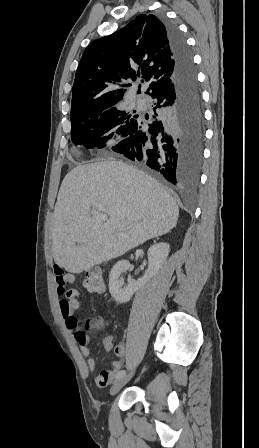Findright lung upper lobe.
Segmentation results:
<instances>
[{"label": "right lung upper lobe", "instance_id": "cb5924a9", "mask_svg": "<svg viewBox=\"0 0 259 448\" xmlns=\"http://www.w3.org/2000/svg\"><path fill=\"white\" fill-rule=\"evenodd\" d=\"M140 74L150 97L172 88L174 62L166 27L151 14L139 15L121 30L86 47L75 74L71 114L114 106L126 92L118 85L134 81Z\"/></svg>", "mask_w": 259, "mask_h": 448}]
</instances>
